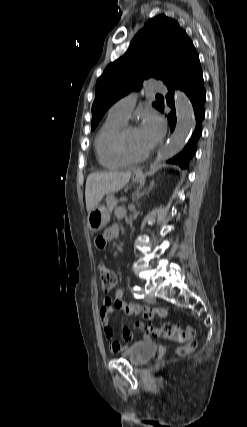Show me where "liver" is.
Wrapping results in <instances>:
<instances>
[{"label":"liver","instance_id":"1","mask_svg":"<svg viewBox=\"0 0 247 427\" xmlns=\"http://www.w3.org/2000/svg\"><path fill=\"white\" fill-rule=\"evenodd\" d=\"M131 172H94L88 175L85 188L88 214L94 210L107 193L117 192L130 180Z\"/></svg>","mask_w":247,"mask_h":427}]
</instances>
